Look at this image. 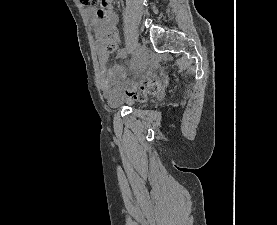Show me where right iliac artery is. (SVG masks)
Wrapping results in <instances>:
<instances>
[{
	"instance_id": "82829eb1",
	"label": "right iliac artery",
	"mask_w": 277,
	"mask_h": 225,
	"mask_svg": "<svg viewBox=\"0 0 277 225\" xmlns=\"http://www.w3.org/2000/svg\"><path fill=\"white\" fill-rule=\"evenodd\" d=\"M139 48H135L132 52V63L136 64L138 59Z\"/></svg>"
}]
</instances>
